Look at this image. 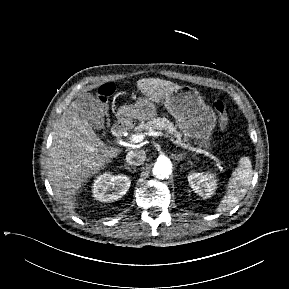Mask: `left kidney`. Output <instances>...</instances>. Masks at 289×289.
Instances as JSON below:
<instances>
[{"label":"left kidney","mask_w":289,"mask_h":289,"mask_svg":"<svg viewBox=\"0 0 289 289\" xmlns=\"http://www.w3.org/2000/svg\"><path fill=\"white\" fill-rule=\"evenodd\" d=\"M188 182L195 193L203 198H209L217 188V179L213 173L192 172L188 175Z\"/></svg>","instance_id":"5707ae66"}]
</instances>
